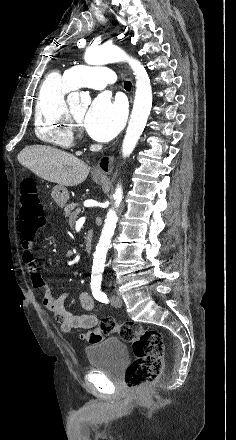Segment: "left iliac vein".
I'll use <instances>...</instances> for the list:
<instances>
[{"instance_id": "4c4485c4", "label": "left iliac vein", "mask_w": 236, "mask_h": 440, "mask_svg": "<svg viewBox=\"0 0 236 440\" xmlns=\"http://www.w3.org/2000/svg\"><path fill=\"white\" fill-rule=\"evenodd\" d=\"M110 301H111V304H112L114 307H121L122 304H123L121 297L118 296V295H113V296L110 298Z\"/></svg>"}]
</instances>
